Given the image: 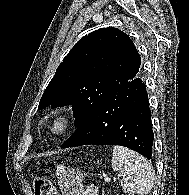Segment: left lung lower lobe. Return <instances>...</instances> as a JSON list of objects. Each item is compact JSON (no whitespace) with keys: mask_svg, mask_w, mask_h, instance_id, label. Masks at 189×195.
<instances>
[{"mask_svg":"<svg viewBox=\"0 0 189 195\" xmlns=\"http://www.w3.org/2000/svg\"><path fill=\"white\" fill-rule=\"evenodd\" d=\"M153 137L146 86L136 78L114 91L61 148L122 145L151 159Z\"/></svg>","mask_w":189,"mask_h":195,"instance_id":"1","label":"left lung lower lobe"}]
</instances>
